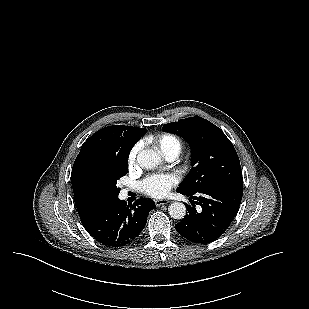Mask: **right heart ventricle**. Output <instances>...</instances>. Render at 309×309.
<instances>
[{
    "mask_svg": "<svg viewBox=\"0 0 309 309\" xmlns=\"http://www.w3.org/2000/svg\"><path fill=\"white\" fill-rule=\"evenodd\" d=\"M151 141L166 156L170 153L178 154L182 148V140L172 133H162L151 138Z\"/></svg>",
    "mask_w": 309,
    "mask_h": 309,
    "instance_id": "1",
    "label": "right heart ventricle"
}]
</instances>
